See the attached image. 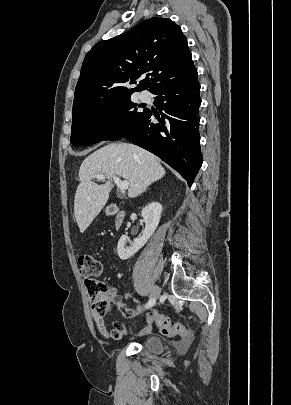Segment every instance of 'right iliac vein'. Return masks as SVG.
<instances>
[{"label":"right iliac vein","instance_id":"right-iliac-vein-1","mask_svg":"<svg viewBox=\"0 0 291 405\" xmlns=\"http://www.w3.org/2000/svg\"><path fill=\"white\" fill-rule=\"evenodd\" d=\"M160 295V288L158 286H154L151 291L152 298L156 301Z\"/></svg>","mask_w":291,"mask_h":405}]
</instances>
